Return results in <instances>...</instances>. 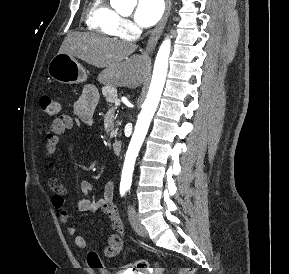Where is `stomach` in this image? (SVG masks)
I'll list each match as a JSON object with an SVG mask.
<instances>
[{
    "mask_svg": "<svg viewBox=\"0 0 289 274\" xmlns=\"http://www.w3.org/2000/svg\"><path fill=\"white\" fill-rule=\"evenodd\" d=\"M49 76L60 83L77 84L83 83L87 79V74L82 65L75 57L58 53L55 55L48 65Z\"/></svg>",
    "mask_w": 289,
    "mask_h": 274,
    "instance_id": "1",
    "label": "stomach"
}]
</instances>
